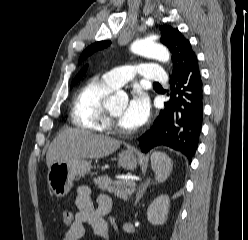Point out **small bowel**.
Here are the masks:
<instances>
[{
  "mask_svg": "<svg viewBox=\"0 0 248 240\" xmlns=\"http://www.w3.org/2000/svg\"><path fill=\"white\" fill-rule=\"evenodd\" d=\"M75 204L77 212L71 224L66 227L62 240H80L85 233V224L91 226L96 235L104 238L96 231V226L100 222H106L105 216L112 208L111 198L106 194H99L94 203L91 189L81 185L76 190Z\"/></svg>",
  "mask_w": 248,
  "mask_h": 240,
  "instance_id": "small-bowel-1",
  "label": "small bowel"
}]
</instances>
